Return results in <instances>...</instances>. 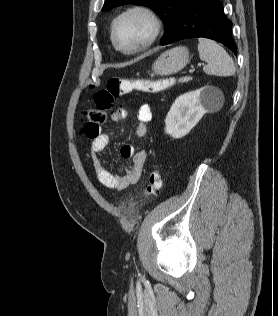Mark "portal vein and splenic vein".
Instances as JSON below:
<instances>
[{
  "instance_id": "18ae733b",
  "label": "portal vein and splenic vein",
  "mask_w": 278,
  "mask_h": 316,
  "mask_svg": "<svg viewBox=\"0 0 278 316\" xmlns=\"http://www.w3.org/2000/svg\"><path fill=\"white\" fill-rule=\"evenodd\" d=\"M203 65V63H198V66L200 67V66H202Z\"/></svg>"
}]
</instances>
